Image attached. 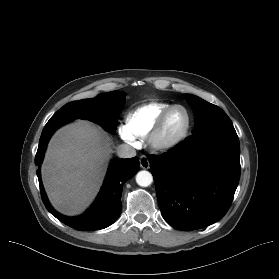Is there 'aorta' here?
Here are the masks:
<instances>
[{
	"label": "aorta",
	"mask_w": 279,
	"mask_h": 279,
	"mask_svg": "<svg viewBox=\"0 0 279 279\" xmlns=\"http://www.w3.org/2000/svg\"><path fill=\"white\" fill-rule=\"evenodd\" d=\"M136 182L141 187H147L152 184L153 176L149 171H145V170L139 171L136 174Z\"/></svg>",
	"instance_id": "1"
}]
</instances>
